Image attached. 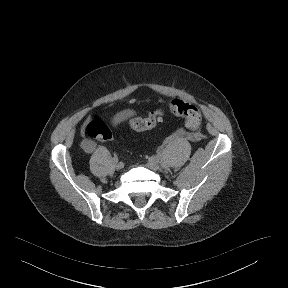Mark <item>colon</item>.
I'll list each match as a JSON object with an SVG mask.
<instances>
[{"label":"colon","mask_w":288,"mask_h":288,"mask_svg":"<svg viewBox=\"0 0 288 288\" xmlns=\"http://www.w3.org/2000/svg\"><path fill=\"white\" fill-rule=\"evenodd\" d=\"M169 110L182 117L185 120V125L191 130H196L202 120V113L200 109L189 102L181 99H172L168 102ZM163 116L161 109L152 110L146 118H131L128 121V126L133 131H144L157 124ZM87 135L94 140L106 143L113 138L112 132L109 127L101 120L96 119L91 121L85 128ZM91 149L90 145H87Z\"/></svg>","instance_id":"5ec220e1"}]
</instances>
